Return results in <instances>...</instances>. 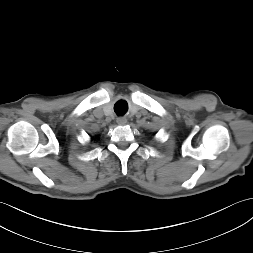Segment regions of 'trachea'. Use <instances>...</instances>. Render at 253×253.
Wrapping results in <instances>:
<instances>
[{
  "instance_id": "trachea-1",
  "label": "trachea",
  "mask_w": 253,
  "mask_h": 253,
  "mask_svg": "<svg viewBox=\"0 0 253 253\" xmlns=\"http://www.w3.org/2000/svg\"><path fill=\"white\" fill-rule=\"evenodd\" d=\"M128 109V105L125 101L121 100L118 101L115 106H114V110L118 115H123L126 110Z\"/></svg>"
}]
</instances>
